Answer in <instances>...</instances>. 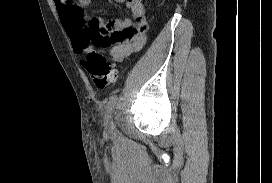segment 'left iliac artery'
<instances>
[{
	"label": "left iliac artery",
	"instance_id": "1",
	"mask_svg": "<svg viewBox=\"0 0 272 183\" xmlns=\"http://www.w3.org/2000/svg\"><path fill=\"white\" fill-rule=\"evenodd\" d=\"M117 101H118V97L116 95L111 96L107 103V109L112 110L114 106L116 105Z\"/></svg>",
	"mask_w": 272,
	"mask_h": 183
}]
</instances>
